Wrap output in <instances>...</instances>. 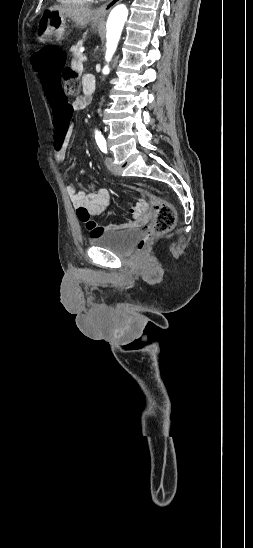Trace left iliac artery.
Here are the masks:
<instances>
[{
    "label": "left iliac artery",
    "instance_id": "1",
    "mask_svg": "<svg viewBox=\"0 0 253 548\" xmlns=\"http://www.w3.org/2000/svg\"><path fill=\"white\" fill-rule=\"evenodd\" d=\"M97 144L100 148V150L103 152V153H107V146H106V141L105 139H98L97 140Z\"/></svg>",
    "mask_w": 253,
    "mask_h": 548
}]
</instances>
